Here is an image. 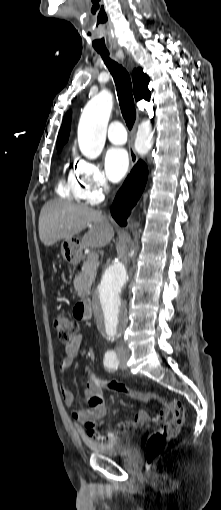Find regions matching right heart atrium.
Here are the masks:
<instances>
[{
	"label": "right heart atrium",
	"mask_w": 221,
	"mask_h": 510,
	"mask_svg": "<svg viewBox=\"0 0 221 510\" xmlns=\"http://www.w3.org/2000/svg\"><path fill=\"white\" fill-rule=\"evenodd\" d=\"M73 181L78 199L92 205L99 203L109 190L105 173L93 161L78 160L73 170Z\"/></svg>",
	"instance_id": "d8ad5b80"
}]
</instances>
